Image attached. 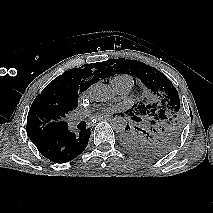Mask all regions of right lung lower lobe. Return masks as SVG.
I'll return each mask as SVG.
<instances>
[{
	"label": "right lung lower lobe",
	"mask_w": 213,
	"mask_h": 213,
	"mask_svg": "<svg viewBox=\"0 0 213 213\" xmlns=\"http://www.w3.org/2000/svg\"><path fill=\"white\" fill-rule=\"evenodd\" d=\"M90 134L89 129L79 133L67 129L47 136L34 137L31 140L44 157L56 163H65L81 154L87 146Z\"/></svg>",
	"instance_id": "obj_1"
}]
</instances>
